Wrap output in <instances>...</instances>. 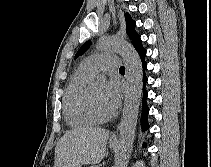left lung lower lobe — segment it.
Here are the masks:
<instances>
[{
    "label": "left lung lower lobe",
    "instance_id": "1",
    "mask_svg": "<svg viewBox=\"0 0 211 167\" xmlns=\"http://www.w3.org/2000/svg\"><path fill=\"white\" fill-rule=\"evenodd\" d=\"M143 66V99H142V115H141V127L142 130H147L149 128L148 121H147V115L149 113V108L146 104V98L148 96L147 91L145 90V84L147 83L148 78L145 76V70L147 68V63L145 62V56H146V50L139 49L137 50ZM143 147H146V144H143Z\"/></svg>",
    "mask_w": 211,
    "mask_h": 167
}]
</instances>
